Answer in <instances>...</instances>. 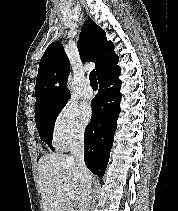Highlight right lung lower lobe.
I'll return each instance as SVG.
<instances>
[{
    "instance_id": "1",
    "label": "right lung lower lobe",
    "mask_w": 178,
    "mask_h": 211,
    "mask_svg": "<svg viewBox=\"0 0 178 211\" xmlns=\"http://www.w3.org/2000/svg\"><path fill=\"white\" fill-rule=\"evenodd\" d=\"M120 70L99 81L93 99L92 120L85 131L84 160L88 169L100 178L107 167L120 113Z\"/></svg>"
}]
</instances>
